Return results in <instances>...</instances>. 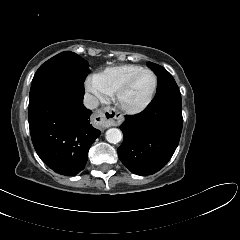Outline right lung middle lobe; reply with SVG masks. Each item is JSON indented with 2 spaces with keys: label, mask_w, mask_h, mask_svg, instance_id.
<instances>
[{
  "label": "right lung middle lobe",
  "mask_w": 240,
  "mask_h": 240,
  "mask_svg": "<svg viewBox=\"0 0 240 240\" xmlns=\"http://www.w3.org/2000/svg\"><path fill=\"white\" fill-rule=\"evenodd\" d=\"M89 64L76 53L62 52L40 66L34 75L29 105L56 90L84 92V79L89 73Z\"/></svg>",
  "instance_id": "right-lung-middle-lobe-1"
}]
</instances>
